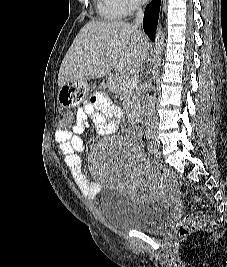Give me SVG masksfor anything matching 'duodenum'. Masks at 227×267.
Instances as JSON below:
<instances>
[{
    "label": "duodenum",
    "instance_id": "1",
    "mask_svg": "<svg viewBox=\"0 0 227 267\" xmlns=\"http://www.w3.org/2000/svg\"><path fill=\"white\" fill-rule=\"evenodd\" d=\"M140 118V116L138 114L134 115V119L138 120Z\"/></svg>",
    "mask_w": 227,
    "mask_h": 267
}]
</instances>
